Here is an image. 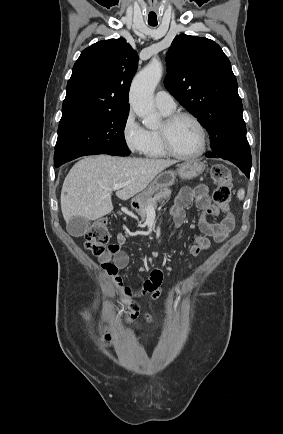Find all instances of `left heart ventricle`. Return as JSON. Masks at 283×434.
<instances>
[{
  "label": "left heart ventricle",
  "mask_w": 283,
  "mask_h": 434,
  "mask_svg": "<svg viewBox=\"0 0 283 434\" xmlns=\"http://www.w3.org/2000/svg\"><path fill=\"white\" fill-rule=\"evenodd\" d=\"M174 149L182 154L194 153L200 146V136L195 124L186 118L178 120L170 129Z\"/></svg>",
  "instance_id": "b2bd125f"
}]
</instances>
